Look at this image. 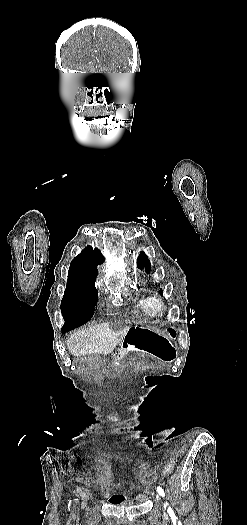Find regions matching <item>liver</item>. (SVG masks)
Segmentation results:
<instances>
[{"mask_svg":"<svg viewBox=\"0 0 247 525\" xmlns=\"http://www.w3.org/2000/svg\"><path fill=\"white\" fill-rule=\"evenodd\" d=\"M109 333L108 323L94 325L89 329H79L66 341L67 349L74 357L85 355H105L104 339Z\"/></svg>","mask_w":247,"mask_h":525,"instance_id":"liver-1","label":"liver"}]
</instances>
